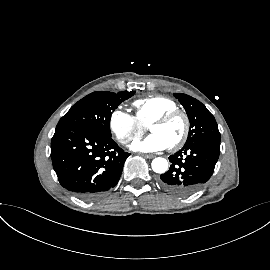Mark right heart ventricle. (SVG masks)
Listing matches in <instances>:
<instances>
[{"instance_id":"e07e8e85","label":"right heart ventricle","mask_w":270,"mask_h":270,"mask_svg":"<svg viewBox=\"0 0 270 270\" xmlns=\"http://www.w3.org/2000/svg\"><path fill=\"white\" fill-rule=\"evenodd\" d=\"M136 117L142 125H149L167 111L178 109V104L169 97L156 95L137 99L133 102Z\"/></svg>"}]
</instances>
